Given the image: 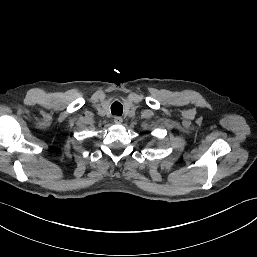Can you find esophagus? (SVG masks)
I'll return each mask as SVG.
<instances>
[{
  "mask_svg": "<svg viewBox=\"0 0 257 257\" xmlns=\"http://www.w3.org/2000/svg\"><path fill=\"white\" fill-rule=\"evenodd\" d=\"M122 122H123L122 117H120V116H115L114 117V123L115 124L120 125Z\"/></svg>",
  "mask_w": 257,
  "mask_h": 257,
  "instance_id": "34e87169",
  "label": "esophagus"
}]
</instances>
